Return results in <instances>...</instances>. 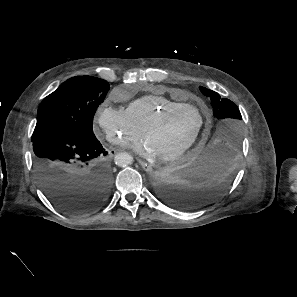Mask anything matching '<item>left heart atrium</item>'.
<instances>
[{
  "label": "left heart atrium",
  "instance_id": "39dd6f15",
  "mask_svg": "<svg viewBox=\"0 0 297 297\" xmlns=\"http://www.w3.org/2000/svg\"><path fill=\"white\" fill-rule=\"evenodd\" d=\"M134 149L140 155L147 158H154L158 156L153 146L146 139L134 145Z\"/></svg>",
  "mask_w": 297,
  "mask_h": 297
}]
</instances>
